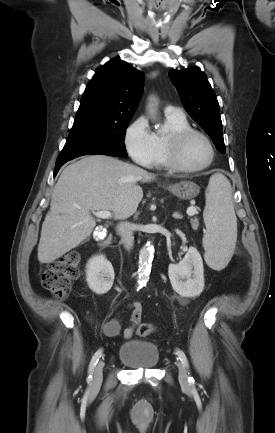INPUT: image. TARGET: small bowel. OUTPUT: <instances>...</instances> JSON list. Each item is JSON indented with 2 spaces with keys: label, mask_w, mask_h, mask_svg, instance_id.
Segmentation results:
<instances>
[{
  "label": "small bowel",
  "mask_w": 275,
  "mask_h": 433,
  "mask_svg": "<svg viewBox=\"0 0 275 433\" xmlns=\"http://www.w3.org/2000/svg\"><path fill=\"white\" fill-rule=\"evenodd\" d=\"M130 312L129 325L124 329L123 336L129 339L133 336L136 327L140 324L142 318V305L140 302H133L126 307ZM106 336L115 337L121 331V321L118 318L109 319L103 326Z\"/></svg>",
  "instance_id": "1"
}]
</instances>
